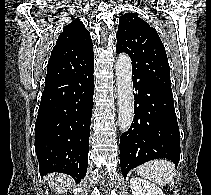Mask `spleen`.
Instances as JSON below:
<instances>
[{
	"mask_svg": "<svg viewBox=\"0 0 211 195\" xmlns=\"http://www.w3.org/2000/svg\"><path fill=\"white\" fill-rule=\"evenodd\" d=\"M137 173L159 185H166L173 180L176 171L172 162L160 159L139 166Z\"/></svg>",
	"mask_w": 211,
	"mask_h": 195,
	"instance_id": "1",
	"label": "spleen"
}]
</instances>
